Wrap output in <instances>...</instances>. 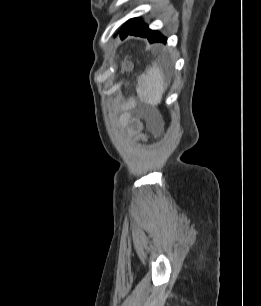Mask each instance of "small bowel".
<instances>
[{
  "label": "small bowel",
  "mask_w": 261,
  "mask_h": 306,
  "mask_svg": "<svg viewBox=\"0 0 261 306\" xmlns=\"http://www.w3.org/2000/svg\"><path fill=\"white\" fill-rule=\"evenodd\" d=\"M122 120L129 127L130 134L142 137L140 133L141 124L139 121L131 119L127 113L124 114Z\"/></svg>",
  "instance_id": "obj_1"
}]
</instances>
